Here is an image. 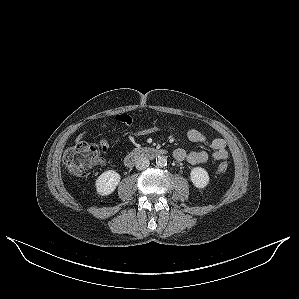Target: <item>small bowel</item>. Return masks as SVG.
I'll return each mask as SVG.
<instances>
[{"label": "small bowel", "instance_id": "obj_1", "mask_svg": "<svg viewBox=\"0 0 299 299\" xmlns=\"http://www.w3.org/2000/svg\"><path fill=\"white\" fill-rule=\"evenodd\" d=\"M117 122H120L126 126L132 124V119L130 116L125 114H120L115 117ZM108 124L104 123L106 127ZM159 131V128L156 126L148 128H136L126 132L127 136H142L149 135ZM90 132V129H85L80 137L85 136ZM188 139L194 143H200L208 146L211 149V152L206 151H192L187 152L182 148H177L173 152V156L177 161L188 162L190 164H201L207 162L209 159L214 160H226L228 158V152L226 149V141L222 138H215L209 140L206 135L196 128H190L187 132ZM110 147L109 138H103L100 141V149L103 153H107Z\"/></svg>", "mask_w": 299, "mask_h": 299}]
</instances>
